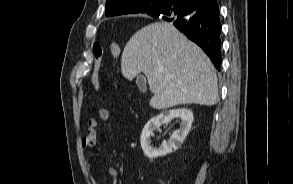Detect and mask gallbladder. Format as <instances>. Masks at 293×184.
Here are the masks:
<instances>
[{"label": "gallbladder", "instance_id": "obj_1", "mask_svg": "<svg viewBox=\"0 0 293 184\" xmlns=\"http://www.w3.org/2000/svg\"><path fill=\"white\" fill-rule=\"evenodd\" d=\"M144 80H145V78L142 75H138L136 78V82L138 85H142Z\"/></svg>", "mask_w": 293, "mask_h": 184}]
</instances>
